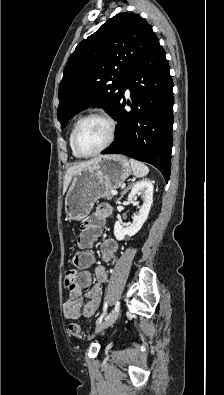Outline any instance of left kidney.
Here are the masks:
<instances>
[{
    "label": "left kidney",
    "instance_id": "obj_1",
    "mask_svg": "<svg viewBox=\"0 0 224 395\" xmlns=\"http://www.w3.org/2000/svg\"><path fill=\"white\" fill-rule=\"evenodd\" d=\"M153 184L150 180L145 179L137 182L128 195V201L135 205L134 198L137 194H141L143 197V204L139 207L137 215L133 216V221L130 224L123 226L120 222H116L114 225V236L117 240H124L126 236L135 235L143 226L147 220L151 204L153 201Z\"/></svg>",
    "mask_w": 224,
    "mask_h": 395
}]
</instances>
